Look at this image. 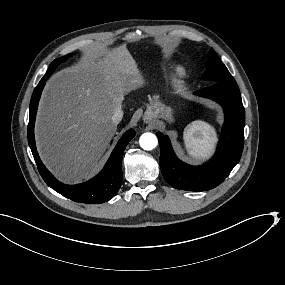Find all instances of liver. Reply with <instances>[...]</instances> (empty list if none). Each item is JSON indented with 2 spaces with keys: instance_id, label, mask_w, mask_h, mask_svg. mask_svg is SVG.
<instances>
[{
  "instance_id": "liver-1",
  "label": "liver",
  "mask_w": 285,
  "mask_h": 285,
  "mask_svg": "<svg viewBox=\"0 0 285 285\" xmlns=\"http://www.w3.org/2000/svg\"><path fill=\"white\" fill-rule=\"evenodd\" d=\"M144 83L125 45L84 49L78 63L49 78L35 136L41 159L55 176L64 183L87 177L116 132L112 116L124 95Z\"/></svg>"
}]
</instances>
